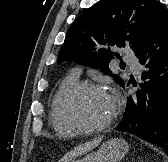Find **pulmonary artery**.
I'll return each instance as SVG.
<instances>
[{
	"instance_id": "e3ab8cb5",
	"label": "pulmonary artery",
	"mask_w": 168,
	"mask_h": 162,
	"mask_svg": "<svg viewBox=\"0 0 168 162\" xmlns=\"http://www.w3.org/2000/svg\"><path fill=\"white\" fill-rule=\"evenodd\" d=\"M125 61L127 62V64L130 65V67L136 72L139 69V62L137 59L131 57V56H127L125 58ZM75 74L79 75L80 71L79 70H75Z\"/></svg>"
}]
</instances>
